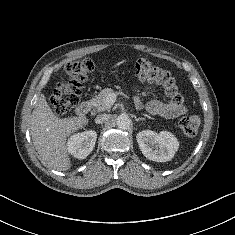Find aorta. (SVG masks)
<instances>
[{
    "label": "aorta",
    "mask_w": 235,
    "mask_h": 235,
    "mask_svg": "<svg viewBox=\"0 0 235 235\" xmlns=\"http://www.w3.org/2000/svg\"><path fill=\"white\" fill-rule=\"evenodd\" d=\"M116 124L119 129L126 130L131 125V119L127 115L122 114L118 116Z\"/></svg>",
    "instance_id": "obj_1"
}]
</instances>
